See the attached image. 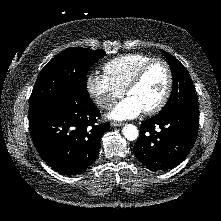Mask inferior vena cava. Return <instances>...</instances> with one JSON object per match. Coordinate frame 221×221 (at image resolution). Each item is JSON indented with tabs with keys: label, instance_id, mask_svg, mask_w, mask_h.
<instances>
[{
	"label": "inferior vena cava",
	"instance_id": "inferior-vena-cava-1",
	"mask_svg": "<svg viewBox=\"0 0 221 221\" xmlns=\"http://www.w3.org/2000/svg\"><path fill=\"white\" fill-rule=\"evenodd\" d=\"M99 106L105 109H111L114 106V103L108 99H102L98 102Z\"/></svg>",
	"mask_w": 221,
	"mask_h": 221
}]
</instances>
